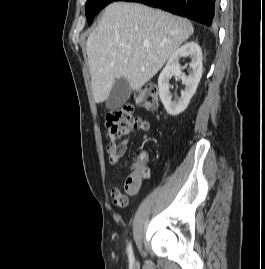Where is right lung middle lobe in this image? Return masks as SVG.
<instances>
[{"label":"right lung middle lobe","mask_w":265,"mask_h":269,"mask_svg":"<svg viewBox=\"0 0 265 269\" xmlns=\"http://www.w3.org/2000/svg\"><path fill=\"white\" fill-rule=\"evenodd\" d=\"M115 0H87L85 6V14L88 20V23L91 24L94 16L102 10L105 6Z\"/></svg>","instance_id":"obj_1"}]
</instances>
